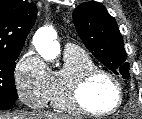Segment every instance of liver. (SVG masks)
Listing matches in <instances>:
<instances>
[{
  "instance_id": "liver-1",
  "label": "liver",
  "mask_w": 142,
  "mask_h": 119,
  "mask_svg": "<svg viewBox=\"0 0 142 119\" xmlns=\"http://www.w3.org/2000/svg\"><path fill=\"white\" fill-rule=\"evenodd\" d=\"M68 116L50 113V112H41V111H32V112H23L18 114H0V119H67Z\"/></svg>"
}]
</instances>
